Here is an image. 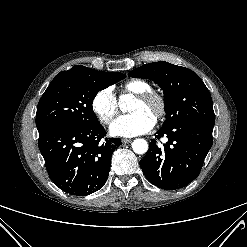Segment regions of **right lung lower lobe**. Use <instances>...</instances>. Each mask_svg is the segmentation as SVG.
Here are the masks:
<instances>
[{"instance_id":"right-lung-lower-lobe-1","label":"right lung lower lobe","mask_w":247,"mask_h":247,"mask_svg":"<svg viewBox=\"0 0 247 247\" xmlns=\"http://www.w3.org/2000/svg\"><path fill=\"white\" fill-rule=\"evenodd\" d=\"M106 135L100 123L82 127L60 126L39 133V149L54 183L66 193L85 196L107 181L111 156L122 144Z\"/></svg>"}]
</instances>
